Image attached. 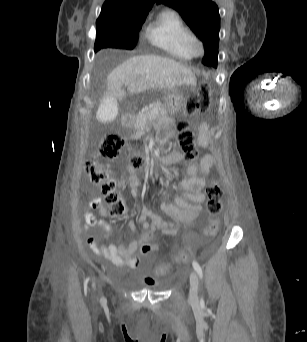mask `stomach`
<instances>
[{
  "label": "stomach",
  "instance_id": "1",
  "mask_svg": "<svg viewBox=\"0 0 307 342\" xmlns=\"http://www.w3.org/2000/svg\"><path fill=\"white\" fill-rule=\"evenodd\" d=\"M192 90V87L183 86L179 90H176L171 95H169L166 103L167 111L171 115L180 112L186 106L187 98L189 97V94Z\"/></svg>",
  "mask_w": 307,
  "mask_h": 342
}]
</instances>
